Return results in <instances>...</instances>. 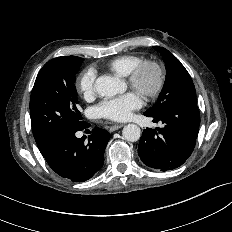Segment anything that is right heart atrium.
<instances>
[{"mask_svg": "<svg viewBox=\"0 0 232 232\" xmlns=\"http://www.w3.org/2000/svg\"><path fill=\"white\" fill-rule=\"evenodd\" d=\"M96 76V71L93 68L86 69L79 76L77 87L84 97H90L94 94Z\"/></svg>", "mask_w": 232, "mask_h": 232, "instance_id": "obj_1", "label": "right heart atrium"}]
</instances>
